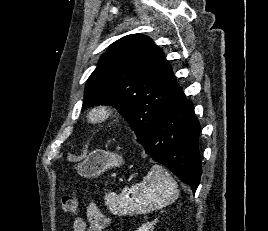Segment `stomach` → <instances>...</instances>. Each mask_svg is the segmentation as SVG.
Returning <instances> with one entry per match:
<instances>
[{
	"label": "stomach",
	"instance_id": "obj_1",
	"mask_svg": "<svg viewBox=\"0 0 268 231\" xmlns=\"http://www.w3.org/2000/svg\"><path fill=\"white\" fill-rule=\"evenodd\" d=\"M124 164L121 155L105 150H94L77 165V172L85 178L97 177L108 169Z\"/></svg>",
	"mask_w": 268,
	"mask_h": 231
}]
</instances>
